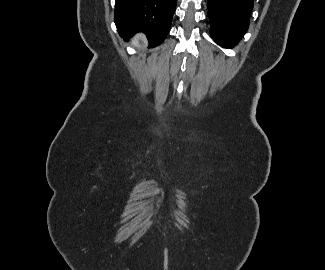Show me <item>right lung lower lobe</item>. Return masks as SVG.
<instances>
[{"label":"right lung lower lobe","instance_id":"obj_1","mask_svg":"<svg viewBox=\"0 0 325 270\" xmlns=\"http://www.w3.org/2000/svg\"><path fill=\"white\" fill-rule=\"evenodd\" d=\"M177 0H115L114 21L119 34L127 40L144 32L149 46L155 47L166 38Z\"/></svg>","mask_w":325,"mask_h":270}]
</instances>
